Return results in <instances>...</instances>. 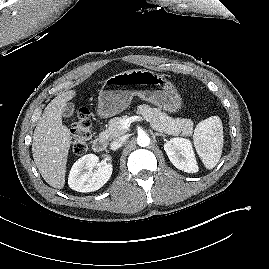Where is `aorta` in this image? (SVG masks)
Returning a JSON list of instances; mask_svg holds the SVG:
<instances>
[{
    "instance_id": "aorta-1",
    "label": "aorta",
    "mask_w": 269,
    "mask_h": 269,
    "mask_svg": "<svg viewBox=\"0 0 269 269\" xmlns=\"http://www.w3.org/2000/svg\"><path fill=\"white\" fill-rule=\"evenodd\" d=\"M137 144L141 147H146L150 144V138L147 134L142 133L137 137Z\"/></svg>"
}]
</instances>
